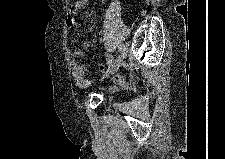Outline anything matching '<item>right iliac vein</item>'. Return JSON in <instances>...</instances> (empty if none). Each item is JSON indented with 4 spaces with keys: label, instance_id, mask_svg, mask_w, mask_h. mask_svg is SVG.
Masks as SVG:
<instances>
[{
    "label": "right iliac vein",
    "instance_id": "obj_1",
    "mask_svg": "<svg viewBox=\"0 0 225 159\" xmlns=\"http://www.w3.org/2000/svg\"><path fill=\"white\" fill-rule=\"evenodd\" d=\"M126 54H127V45L124 44L122 46V50H121L119 57L117 58L114 65H112V67L108 70L106 76H108L109 74H112L118 70L119 66L122 64L124 58L126 57Z\"/></svg>",
    "mask_w": 225,
    "mask_h": 159
}]
</instances>
